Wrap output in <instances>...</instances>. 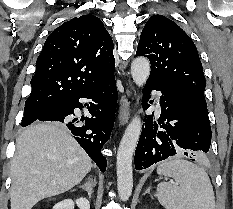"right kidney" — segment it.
<instances>
[{"mask_svg":"<svg viewBox=\"0 0 233 209\" xmlns=\"http://www.w3.org/2000/svg\"><path fill=\"white\" fill-rule=\"evenodd\" d=\"M77 205L79 209H90V203L86 198H78L75 201L72 199H66L57 203L53 209H74V205Z\"/></svg>","mask_w":233,"mask_h":209,"instance_id":"1","label":"right kidney"}]
</instances>
